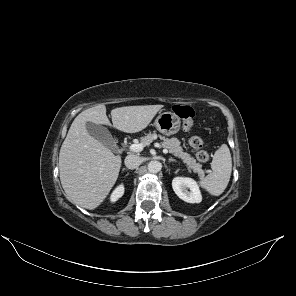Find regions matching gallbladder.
Listing matches in <instances>:
<instances>
[{
  "instance_id": "bac80fb5",
  "label": "gallbladder",
  "mask_w": 296,
  "mask_h": 296,
  "mask_svg": "<svg viewBox=\"0 0 296 296\" xmlns=\"http://www.w3.org/2000/svg\"><path fill=\"white\" fill-rule=\"evenodd\" d=\"M86 129L92 137H94L104 146L113 151L116 150V141L107 128L92 122H87Z\"/></svg>"
}]
</instances>
